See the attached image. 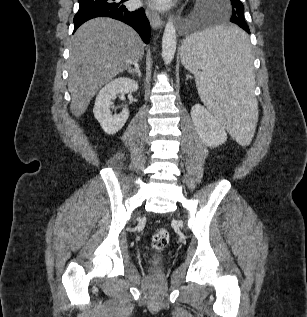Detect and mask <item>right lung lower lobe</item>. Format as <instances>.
I'll list each match as a JSON object with an SVG mask.
<instances>
[{
    "mask_svg": "<svg viewBox=\"0 0 307 317\" xmlns=\"http://www.w3.org/2000/svg\"><path fill=\"white\" fill-rule=\"evenodd\" d=\"M125 1L127 0H78L79 10L74 16V31L92 18L111 17L130 25L148 44L150 42V24L144 9L129 11L123 5Z\"/></svg>",
    "mask_w": 307,
    "mask_h": 317,
    "instance_id": "98d812e1",
    "label": "right lung lower lobe"
}]
</instances>
